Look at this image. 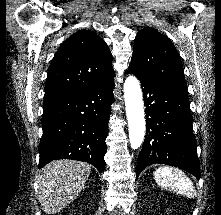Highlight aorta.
I'll use <instances>...</instances> for the list:
<instances>
[{
	"label": "aorta",
	"mask_w": 221,
	"mask_h": 215,
	"mask_svg": "<svg viewBox=\"0 0 221 215\" xmlns=\"http://www.w3.org/2000/svg\"><path fill=\"white\" fill-rule=\"evenodd\" d=\"M124 99L129 127V141L132 149L141 146L145 136V114L139 81L134 76L126 78Z\"/></svg>",
	"instance_id": "obj_1"
}]
</instances>
